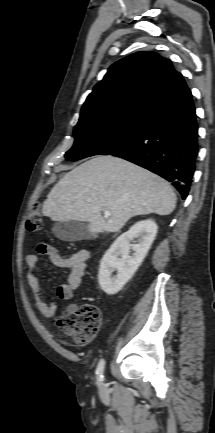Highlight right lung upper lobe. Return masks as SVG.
I'll list each match as a JSON object with an SVG mask.
<instances>
[{
    "instance_id": "right-lung-upper-lobe-1",
    "label": "right lung upper lobe",
    "mask_w": 215,
    "mask_h": 433,
    "mask_svg": "<svg viewBox=\"0 0 215 433\" xmlns=\"http://www.w3.org/2000/svg\"><path fill=\"white\" fill-rule=\"evenodd\" d=\"M187 85L170 62L154 52L131 54L114 63L87 97L79 122L145 115Z\"/></svg>"
}]
</instances>
